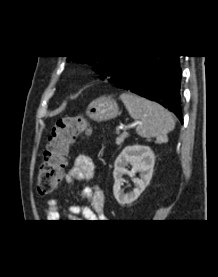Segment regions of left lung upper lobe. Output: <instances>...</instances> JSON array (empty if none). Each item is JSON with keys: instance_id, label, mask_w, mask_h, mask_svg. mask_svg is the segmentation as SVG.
<instances>
[{"instance_id": "5c2ea615", "label": "left lung upper lobe", "mask_w": 218, "mask_h": 277, "mask_svg": "<svg viewBox=\"0 0 218 277\" xmlns=\"http://www.w3.org/2000/svg\"><path fill=\"white\" fill-rule=\"evenodd\" d=\"M133 55L121 56H69L67 61L74 60L80 63L92 65L96 72L103 78H110L114 73L120 71L134 58Z\"/></svg>"}]
</instances>
